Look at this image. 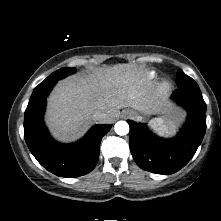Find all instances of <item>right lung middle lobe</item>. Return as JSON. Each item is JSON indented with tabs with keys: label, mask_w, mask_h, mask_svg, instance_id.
<instances>
[{
	"label": "right lung middle lobe",
	"mask_w": 221,
	"mask_h": 221,
	"mask_svg": "<svg viewBox=\"0 0 221 221\" xmlns=\"http://www.w3.org/2000/svg\"><path fill=\"white\" fill-rule=\"evenodd\" d=\"M74 72H75V68H72V67H65V68L59 69V70L53 72L52 74H50L38 86H43V85L56 83L59 79H62L64 77H66L67 75L72 74Z\"/></svg>",
	"instance_id": "obj_1"
}]
</instances>
